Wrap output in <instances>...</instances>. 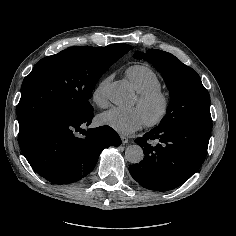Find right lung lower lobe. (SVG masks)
Wrapping results in <instances>:
<instances>
[{"label": "right lung lower lobe", "mask_w": 236, "mask_h": 236, "mask_svg": "<svg viewBox=\"0 0 236 236\" xmlns=\"http://www.w3.org/2000/svg\"><path fill=\"white\" fill-rule=\"evenodd\" d=\"M92 119L93 111L80 117L51 115L36 120L19 130L21 151L48 181H78L93 170L103 149L121 144L109 126L88 129Z\"/></svg>", "instance_id": "1"}]
</instances>
